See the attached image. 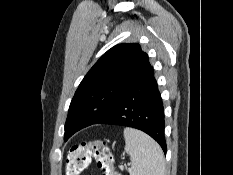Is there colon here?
<instances>
[{"label": "colon", "mask_w": 233, "mask_h": 175, "mask_svg": "<svg viewBox=\"0 0 233 175\" xmlns=\"http://www.w3.org/2000/svg\"><path fill=\"white\" fill-rule=\"evenodd\" d=\"M97 162L102 175H121L115 168V157L105 141L95 140L72 146L67 154L65 175H80L91 158Z\"/></svg>", "instance_id": "obj_1"}]
</instances>
